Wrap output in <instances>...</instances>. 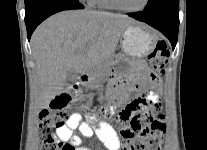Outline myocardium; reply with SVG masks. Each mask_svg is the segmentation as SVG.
Wrapping results in <instances>:
<instances>
[{
	"label": "myocardium",
	"mask_w": 207,
	"mask_h": 150,
	"mask_svg": "<svg viewBox=\"0 0 207 150\" xmlns=\"http://www.w3.org/2000/svg\"><path fill=\"white\" fill-rule=\"evenodd\" d=\"M112 4L115 6V8L123 11V12H127V13H139L142 12L149 4V0H144V3L141 7L137 8V9H127L125 7H123L120 3L119 0H111Z\"/></svg>",
	"instance_id": "myocardium-1"
}]
</instances>
